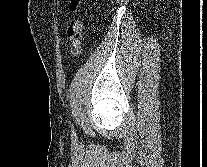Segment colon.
Returning <instances> with one entry per match:
<instances>
[{
    "instance_id": "obj_1",
    "label": "colon",
    "mask_w": 207,
    "mask_h": 167,
    "mask_svg": "<svg viewBox=\"0 0 207 167\" xmlns=\"http://www.w3.org/2000/svg\"><path fill=\"white\" fill-rule=\"evenodd\" d=\"M81 4V0H70V10L77 12ZM83 23L80 19H74L67 28V37L71 43L70 55L75 58L81 51Z\"/></svg>"
}]
</instances>
